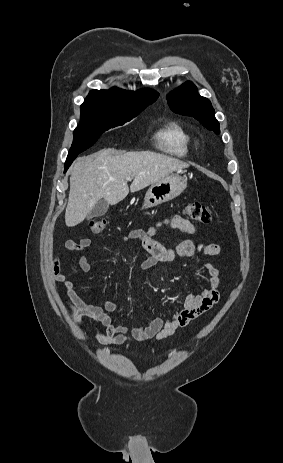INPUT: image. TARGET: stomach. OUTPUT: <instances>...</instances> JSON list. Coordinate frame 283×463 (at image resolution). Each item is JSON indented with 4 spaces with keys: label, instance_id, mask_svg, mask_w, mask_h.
I'll list each match as a JSON object with an SVG mask.
<instances>
[{
    "label": "stomach",
    "instance_id": "stomach-1",
    "mask_svg": "<svg viewBox=\"0 0 283 463\" xmlns=\"http://www.w3.org/2000/svg\"><path fill=\"white\" fill-rule=\"evenodd\" d=\"M187 187V179L169 175L153 183L147 190L143 208H152L180 195Z\"/></svg>",
    "mask_w": 283,
    "mask_h": 463
}]
</instances>
